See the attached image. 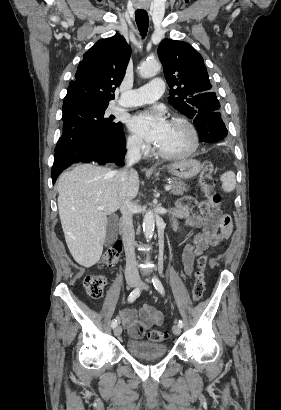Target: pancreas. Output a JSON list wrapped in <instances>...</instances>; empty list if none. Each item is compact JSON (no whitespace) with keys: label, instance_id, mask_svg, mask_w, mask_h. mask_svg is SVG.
Listing matches in <instances>:
<instances>
[{"label":"pancreas","instance_id":"obj_1","mask_svg":"<svg viewBox=\"0 0 281 410\" xmlns=\"http://www.w3.org/2000/svg\"><path fill=\"white\" fill-rule=\"evenodd\" d=\"M170 185L172 186L171 193L173 195H182L189 190V186L177 179H172Z\"/></svg>","mask_w":281,"mask_h":410}]
</instances>
